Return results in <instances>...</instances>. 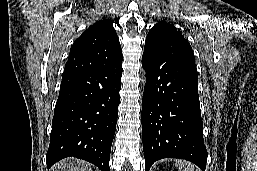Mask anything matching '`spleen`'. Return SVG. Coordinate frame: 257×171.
<instances>
[{"label":"spleen","instance_id":"spleen-1","mask_svg":"<svg viewBox=\"0 0 257 171\" xmlns=\"http://www.w3.org/2000/svg\"><path fill=\"white\" fill-rule=\"evenodd\" d=\"M176 167L178 171H201L195 165L185 160H178L176 162Z\"/></svg>","mask_w":257,"mask_h":171}]
</instances>
